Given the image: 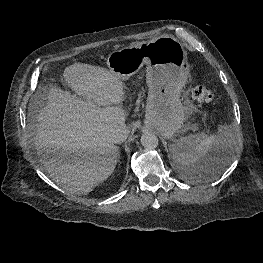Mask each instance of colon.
<instances>
[{"label": "colon", "mask_w": 263, "mask_h": 263, "mask_svg": "<svg viewBox=\"0 0 263 263\" xmlns=\"http://www.w3.org/2000/svg\"><path fill=\"white\" fill-rule=\"evenodd\" d=\"M191 96L194 100L201 103H212L214 101L213 91L206 85H197L192 88Z\"/></svg>", "instance_id": "colon-1"}]
</instances>
